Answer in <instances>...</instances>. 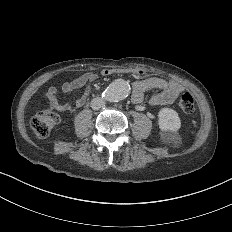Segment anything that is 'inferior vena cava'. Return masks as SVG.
Masks as SVG:
<instances>
[{"label": "inferior vena cava", "mask_w": 232, "mask_h": 232, "mask_svg": "<svg viewBox=\"0 0 232 232\" xmlns=\"http://www.w3.org/2000/svg\"><path fill=\"white\" fill-rule=\"evenodd\" d=\"M107 106V101L103 97L93 98L89 102V107L93 111H101Z\"/></svg>", "instance_id": "602c4592"}]
</instances>
